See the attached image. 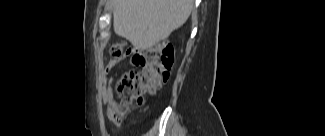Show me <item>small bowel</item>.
Masks as SVG:
<instances>
[{
    "instance_id": "1",
    "label": "small bowel",
    "mask_w": 325,
    "mask_h": 136,
    "mask_svg": "<svg viewBox=\"0 0 325 136\" xmlns=\"http://www.w3.org/2000/svg\"><path fill=\"white\" fill-rule=\"evenodd\" d=\"M148 48H139L138 44H129L126 48V55H132V59L135 60L134 68H127L126 73L118 74L116 78L117 87L115 83L111 82V74L118 62L110 61L104 69V87H103V100L106 106L107 115L112 122L120 124L123 121L126 111H119L114 98H121L122 93L126 91V88L132 87V79L134 75L138 74V69H145L147 59L145 55H148ZM112 91L111 90H115ZM124 109V108H123Z\"/></svg>"
}]
</instances>
